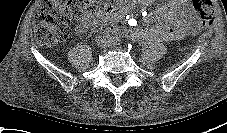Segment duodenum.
<instances>
[{
	"label": "duodenum",
	"mask_w": 227,
	"mask_h": 133,
	"mask_svg": "<svg viewBox=\"0 0 227 133\" xmlns=\"http://www.w3.org/2000/svg\"><path fill=\"white\" fill-rule=\"evenodd\" d=\"M118 28H119V25H115L112 23H106L103 26V30L106 32H116L118 30Z\"/></svg>",
	"instance_id": "obj_1"
}]
</instances>
